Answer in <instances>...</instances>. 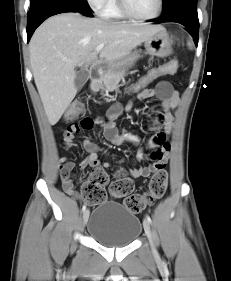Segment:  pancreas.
<instances>
[{"label": "pancreas", "instance_id": "cf45deb5", "mask_svg": "<svg viewBox=\"0 0 231 281\" xmlns=\"http://www.w3.org/2000/svg\"><path fill=\"white\" fill-rule=\"evenodd\" d=\"M126 75V70H107L91 83V90L93 92L113 91Z\"/></svg>", "mask_w": 231, "mask_h": 281}]
</instances>
